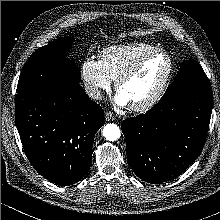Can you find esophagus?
Here are the masks:
<instances>
[{
    "mask_svg": "<svg viewBox=\"0 0 220 220\" xmlns=\"http://www.w3.org/2000/svg\"><path fill=\"white\" fill-rule=\"evenodd\" d=\"M105 120L106 121H113V120H115V116L111 112L106 111L105 112Z\"/></svg>",
    "mask_w": 220,
    "mask_h": 220,
    "instance_id": "34e87169",
    "label": "esophagus"
}]
</instances>
